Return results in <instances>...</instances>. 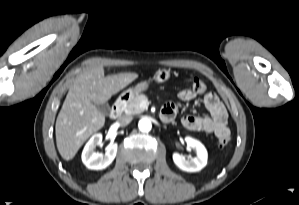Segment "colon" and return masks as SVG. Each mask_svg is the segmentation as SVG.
I'll return each instance as SVG.
<instances>
[{
  "label": "colon",
  "instance_id": "1",
  "mask_svg": "<svg viewBox=\"0 0 299 205\" xmlns=\"http://www.w3.org/2000/svg\"><path fill=\"white\" fill-rule=\"evenodd\" d=\"M190 82H191V90L194 93L202 94L205 93L207 90L206 85L198 78L196 77H190ZM230 141V135H223L218 138V144L221 147L226 146Z\"/></svg>",
  "mask_w": 299,
  "mask_h": 205
}]
</instances>
